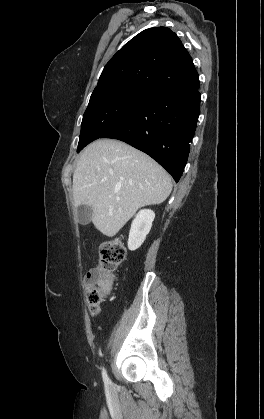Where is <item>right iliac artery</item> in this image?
<instances>
[{
	"mask_svg": "<svg viewBox=\"0 0 264 419\" xmlns=\"http://www.w3.org/2000/svg\"><path fill=\"white\" fill-rule=\"evenodd\" d=\"M102 377L106 385H109L111 383L104 368L102 370Z\"/></svg>",
	"mask_w": 264,
	"mask_h": 419,
	"instance_id": "obj_1",
	"label": "right iliac artery"
}]
</instances>
